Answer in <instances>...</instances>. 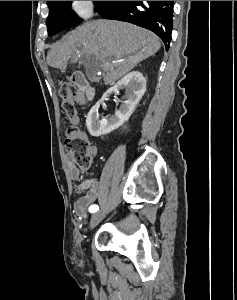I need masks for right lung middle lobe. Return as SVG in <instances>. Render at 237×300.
I'll list each match as a JSON object with an SVG mask.
<instances>
[{
	"label": "right lung middle lobe",
	"mask_w": 237,
	"mask_h": 300,
	"mask_svg": "<svg viewBox=\"0 0 237 300\" xmlns=\"http://www.w3.org/2000/svg\"><path fill=\"white\" fill-rule=\"evenodd\" d=\"M72 1H47L49 7V16L46 20L48 27V35H55L58 32L78 25L82 20L71 10ZM97 8L104 3V1H96Z\"/></svg>",
	"instance_id": "dd1d6c3e"
}]
</instances>
